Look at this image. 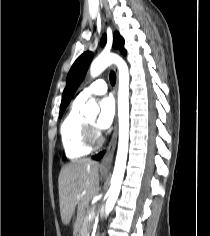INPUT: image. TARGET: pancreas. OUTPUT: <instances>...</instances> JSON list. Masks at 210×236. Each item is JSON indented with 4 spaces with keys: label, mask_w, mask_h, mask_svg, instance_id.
<instances>
[{
    "label": "pancreas",
    "mask_w": 210,
    "mask_h": 236,
    "mask_svg": "<svg viewBox=\"0 0 210 236\" xmlns=\"http://www.w3.org/2000/svg\"><path fill=\"white\" fill-rule=\"evenodd\" d=\"M93 212H95V208H91V209L88 211L87 215L84 217L83 223H82V229H81L82 235H79V236H86V233L88 232V230H89V228H90V225H91V223H92V221H91L88 217H89V215H90L91 213H93Z\"/></svg>",
    "instance_id": "obj_1"
}]
</instances>
